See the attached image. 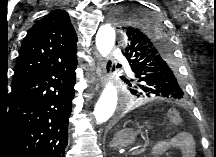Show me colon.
I'll return each instance as SVG.
<instances>
[{
  "label": "colon",
  "mask_w": 216,
  "mask_h": 157,
  "mask_svg": "<svg viewBox=\"0 0 216 157\" xmlns=\"http://www.w3.org/2000/svg\"><path fill=\"white\" fill-rule=\"evenodd\" d=\"M167 119L169 124L172 126H178L183 122L180 112L175 108H172L168 111Z\"/></svg>",
  "instance_id": "1"
}]
</instances>
